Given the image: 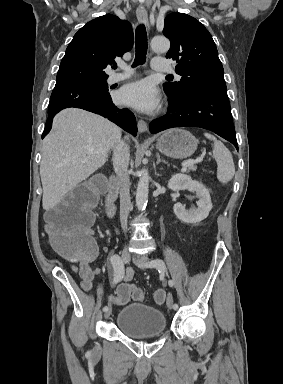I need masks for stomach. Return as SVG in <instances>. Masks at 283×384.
<instances>
[{"mask_svg":"<svg viewBox=\"0 0 283 384\" xmlns=\"http://www.w3.org/2000/svg\"><path fill=\"white\" fill-rule=\"evenodd\" d=\"M157 150H160L165 156L169 158H176V160H184L189 158L197 150V142L186 130H167L165 134H162L156 144Z\"/></svg>","mask_w":283,"mask_h":384,"instance_id":"stomach-1","label":"stomach"}]
</instances>
